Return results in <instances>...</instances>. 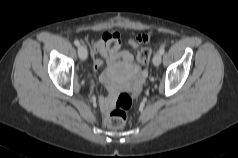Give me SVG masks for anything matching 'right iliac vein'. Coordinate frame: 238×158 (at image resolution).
Wrapping results in <instances>:
<instances>
[{"mask_svg":"<svg viewBox=\"0 0 238 158\" xmlns=\"http://www.w3.org/2000/svg\"><path fill=\"white\" fill-rule=\"evenodd\" d=\"M78 55L81 60H86L88 56L87 48L84 45L78 47Z\"/></svg>","mask_w":238,"mask_h":158,"instance_id":"63e3f726","label":"right iliac vein"}]
</instances>
